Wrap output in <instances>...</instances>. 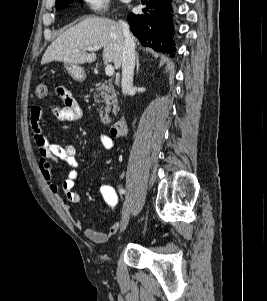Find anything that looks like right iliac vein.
Wrapping results in <instances>:
<instances>
[{"mask_svg": "<svg viewBox=\"0 0 267 301\" xmlns=\"http://www.w3.org/2000/svg\"><path fill=\"white\" fill-rule=\"evenodd\" d=\"M129 219H130V206L128 204V201H126L123 207L121 224H120L121 232H123L126 229Z\"/></svg>", "mask_w": 267, "mask_h": 301, "instance_id": "1", "label": "right iliac vein"}]
</instances>
